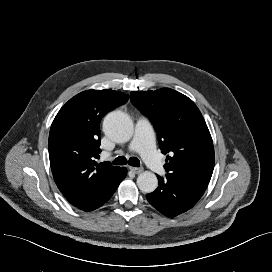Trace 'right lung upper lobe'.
Returning <instances> with one entry per match:
<instances>
[{
    "label": "right lung upper lobe",
    "mask_w": 272,
    "mask_h": 272,
    "mask_svg": "<svg viewBox=\"0 0 272 272\" xmlns=\"http://www.w3.org/2000/svg\"><path fill=\"white\" fill-rule=\"evenodd\" d=\"M129 95L113 90H87L71 98L58 112L49 134V158L55 183L74 206L89 203L109 187L122 167L100 157V121Z\"/></svg>",
    "instance_id": "obj_1"
}]
</instances>
